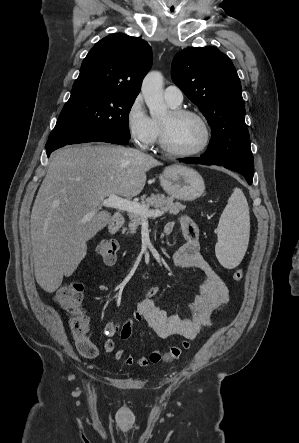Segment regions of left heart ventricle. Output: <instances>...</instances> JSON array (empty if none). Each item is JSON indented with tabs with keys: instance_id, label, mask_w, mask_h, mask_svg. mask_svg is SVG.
<instances>
[{
	"instance_id": "b2bd125f",
	"label": "left heart ventricle",
	"mask_w": 299,
	"mask_h": 443,
	"mask_svg": "<svg viewBox=\"0 0 299 443\" xmlns=\"http://www.w3.org/2000/svg\"><path fill=\"white\" fill-rule=\"evenodd\" d=\"M160 123L165 127L167 145L173 150L192 151L203 142L204 128L195 117H174L169 112Z\"/></svg>"
}]
</instances>
